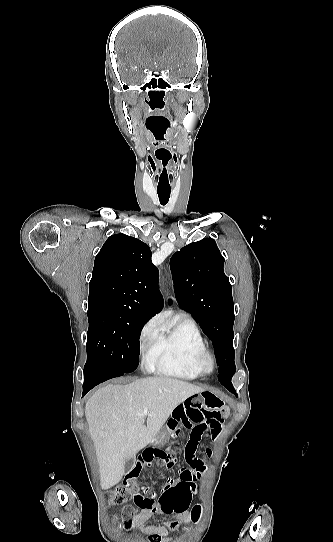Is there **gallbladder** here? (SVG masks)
<instances>
[{
  "instance_id": "obj_1",
  "label": "gallbladder",
  "mask_w": 333,
  "mask_h": 542,
  "mask_svg": "<svg viewBox=\"0 0 333 542\" xmlns=\"http://www.w3.org/2000/svg\"><path fill=\"white\" fill-rule=\"evenodd\" d=\"M134 464H135V458H131V460H128V462H126L124 466V474H128V472H130V470L134 468Z\"/></svg>"
}]
</instances>
